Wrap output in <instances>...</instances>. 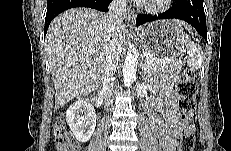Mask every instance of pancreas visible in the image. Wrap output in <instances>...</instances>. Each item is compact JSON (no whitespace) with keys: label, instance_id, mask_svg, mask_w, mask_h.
Returning <instances> with one entry per match:
<instances>
[{"label":"pancreas","instance_id":"pancreas-1","mask_svg":"<svg viewBox=\"0 0 231 151\" xmlns=\"http://www.w3.org/2000/svg\"><path fill=\"white\" fill-rule=\"evenodd\" d=\"M152 58H145L144 67L148 72H163L172 74L173 72H180L182 63L178 61H172L168 63L158 62L157 57L151 55Z\"/></svg>","mask_w":231,"mask_h":151}]
</instances>
